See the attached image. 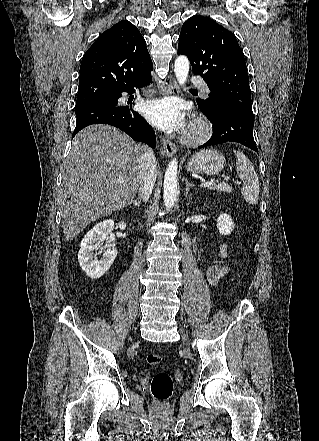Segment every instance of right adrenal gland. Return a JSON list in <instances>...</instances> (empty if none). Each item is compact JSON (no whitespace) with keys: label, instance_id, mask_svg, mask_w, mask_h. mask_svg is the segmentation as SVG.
Segmentation results:
<instances>
[{"label":"right adrenal gland","instance_id":"right-adrenal-gland-1","mask_svg":"<svg viewBox=\"0 0 319 441\" xmlns=\"http://www.w3.org/2000/svg\"><path fill=\"white\" fill-rule=\"evenodd\" d=\"M132 204L135 206V207H140L141 205H142V202H141V200L140 199H137V200H133L132 201Z\"/></svg>","mask_w":319,"mask_h":441}]
</instances>
